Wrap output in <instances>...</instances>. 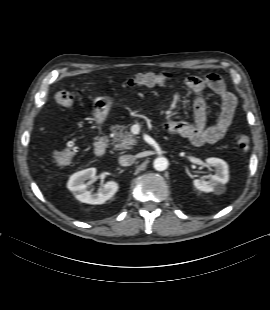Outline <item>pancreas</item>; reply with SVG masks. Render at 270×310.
<instances>
[{"mask_svg": "<svg viewBox=\"0 0 270 310\" xmlns=\"http://www.w3.org/2000/svg\"><path fill=\"white\" fill-rule=\"evenodd\" d=\"M126 128L127 126L125 125L111 126L110 130L113 135L112 144L114 146V150L132 149V147L136 144V139L133 134L127 131Z\"/></svg>", "mask_w": 270, "mask_h": 310, "instance_id": "pancreas-1", "label": "pancreas"}]
</instances>
